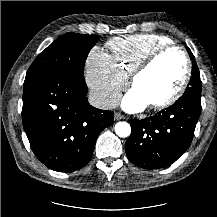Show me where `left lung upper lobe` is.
<instances>
[{"instance_id":"left-lung-upper-lobe-1","label":"left lung upper lobe","mask_w":217,"mask_h":217,"mask_svg":"<svg viewBox=\"0 0 217 217\" xmlns=\"http://www.w3.org/2000/svg\"><path fill=\"white\" fill-rule=\"evenodd\" d=\"M186 48L190 55L191 60H193V63H192L193 66H192V76L190 78V82L184 94L192 95L194 97H201V80H200V75H199V69L196 65L195 58L192 52L190 51L188 47Z\"/></svg>"}]
</instances>
